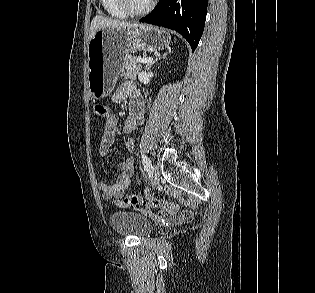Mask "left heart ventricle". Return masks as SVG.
Returning a JSON list of instances; mask_svg holds the SVG:
<instances>
[{"mask_svg": "<svg viewBox=\"0 0 315 293\" xmlns=\"http://www.w3.org/2000/svg\"><path fill=\"white\" fill-rule=\"evenodd\" d=\"M131 4L136 9H142L146 7L151 0H130Z\"/></svg>", "mask_w": 315, "mask_h": 293, "instance_id": "1", "label": "left heart ventricle"}]
</instances>
